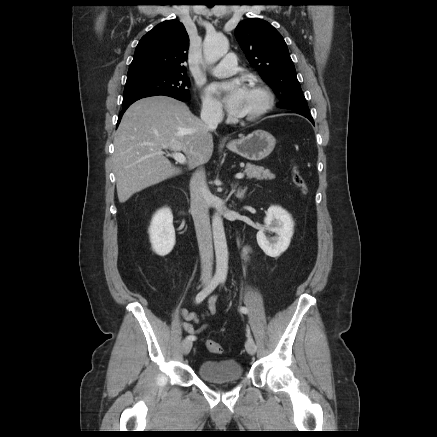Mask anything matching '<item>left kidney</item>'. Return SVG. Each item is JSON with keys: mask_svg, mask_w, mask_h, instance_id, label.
Listing matches in <instances>:
<instances>
[{"mask_svg": "<svg viewBox=\"0 0 437 437\" xmlns=\"http://www.w3.org/2000/svg\"><path fill=\"white\" fill-rule=\"evenodd\" d=\"M264 227L257 233V243L270 257H278L287 250L293 236L294 222L291 215L279 206H270L264 219ZM266 232L275 233L267 237Z\"/></svg>", "mask_w": 437, "mask_h": 437, "instance_id": "5707ae66", "label": "left kidney"}]
</instances>
